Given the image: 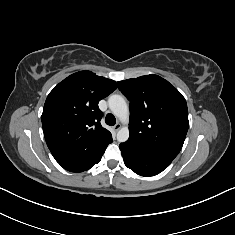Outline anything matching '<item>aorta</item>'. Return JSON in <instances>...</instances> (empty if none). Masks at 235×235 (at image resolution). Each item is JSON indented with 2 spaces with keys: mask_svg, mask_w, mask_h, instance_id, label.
Listing matches in <instances>:
<instances>
[{
  "mask_svg": "<svg viewBox=\"0 0 235 235\" xmlns=\"http://www.w3.org/2000/svg\"><path fill=\"white\" fill-rule=\"evenodd\" d=\"M108 105L112 113L125 125L117 132V140L126 142L129 138V128L126 125L129 121V109L125 99L121 95H111L108 98Z\"/></svg>",
  "mask_w": 235,
  "mask_h": 235,
  "instance_id": "1",
  "label": "aorta"
}]
</instances>
